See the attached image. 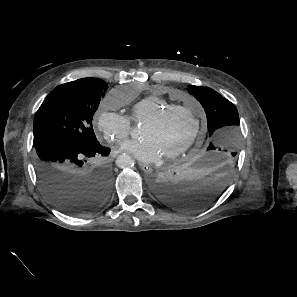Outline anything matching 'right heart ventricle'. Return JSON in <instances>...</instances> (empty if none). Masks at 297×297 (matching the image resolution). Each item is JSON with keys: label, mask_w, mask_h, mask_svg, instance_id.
I'll return each mask as SVG.
<instances>
[{"label": "right heart ventricle", "mask_w": 297, "mask_h": 297, "mask_svg": "<svg viewBox=\"0 0 297 297\" xmlns=\"http://www.w3.org/2000/svg\"><path fill=\"white\" fill-rule=\"evenodd\" d=\"M169 106H173V104L163 97L147 96L132 106L131 119L138 123H144L146 119Z\"/></svg>", "instance_id": "right-heart-ventricle-1"}]
</instances>
